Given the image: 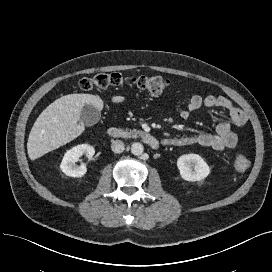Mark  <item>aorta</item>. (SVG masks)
Listing matches in <instances>:
<instances>
[{"mask_svg":"<svg viewBox=\"0 0 272 272\" xmlns=\"http://www.w3.org/2000/svg\"><path fill=\"white\" fill-rule=\"evenodd\" d=\"M143 151H144V147H143V145L141 143L135 142V143L132 144L131 153L133 155L139 156V155H141L143 153Z\"/></svg>","mask_w":272,"mask_h":272,"instance_id":"obj_1","label":"aorta"}]
</instances>
